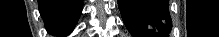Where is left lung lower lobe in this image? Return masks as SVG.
<instances>
[{"label": "left lung lower lobe", "mask_w": 219, "mask_h": 37, "mask_svg": "<svg viewBox=\"0 0 219 37\" xmlns=\"http://www.w3.org/2000/svg\"><path fill=\"white\" fill-rule=\"evenodd\" d=\"M168 0H118L123 21L133 37H169Z\"/></svg>", "instance_id": "left-lung-lower-lobe-1"}]
</instances>
